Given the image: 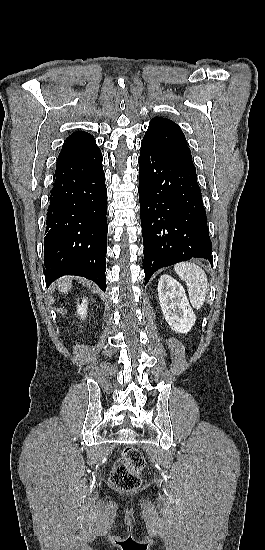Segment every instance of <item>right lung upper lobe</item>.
Wrapping results in <instances>:
<instances>
[{
    "label": "right lung upper lobe",
    "mask_w": 265,
    "mask_h": 550,
    "mask_svg": "<svg viewBox=\"0 0 265 550\" xmlns=\"http://www.w3.org/2000/svg\"><path fill=\"white\" fill-rule=\"evenodd\" d=\"M99 149L92 135L84 131H76L67 137L61 149L58 161Z\"/></svg>",
    "instance_id": "obj_1"
}]
</instances>
